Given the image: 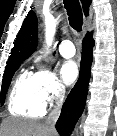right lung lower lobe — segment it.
<instances>
[{
    "label": "right lung lower lobe",
    "instance_id": "1",
    "mask_svg": "<svg viewBox=\"0 0 117 136\" xmlns=\"http://www.w3.org/2000/svg\"><path fill=\"white\" fill-rule=\"evenodd\" d=\"M94 44L92 32L87 33L82 45L83 54L79 79L64 102L60 117L56 122V129L61 136L69 135V132L73 130L75 123L84 110L91 75L92 48Z\"/></svg>",
    "mask_w": 117,
    "mask_h": 136
}]
</instances>
